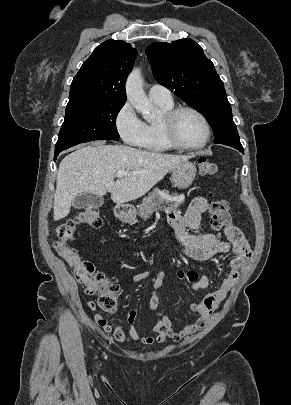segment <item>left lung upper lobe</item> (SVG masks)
<instances>
[{
	"mask_svg": "<svg viewBox=\"0 0 291 405\" xmlns=\"http://www.w3.org/2000/svg\"><path fill=\"white\" fill-rule=\"evenodd\" d=\"M146 54L157 82L207 118L216 144L242 146L224 84L200 45L188 38L155 42Z\"/></svg>",
	"mask_w": 291,
	"mask_h": 405,
	"instance_id": "1",
	"label": "left lung upper lobe"
}]
</instances>
